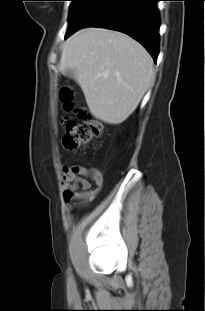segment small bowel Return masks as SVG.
Returning <instances> with one entry per match:
<instances>
[{
	"mask_svg": "<svg viewBox=\"0 0 205 311\" xmlns=\"http://www.w3.org/2000/svg\"><path fill=\"white\" fill-rule=\"evenodd\" d=\"M91 181L95 189H91ZM104 178L100 170L86 167L81 164H74L63 168L62 187L65 200L74 207L88 204L100 191Z\"/></svg>",
	"mask_w": 205,
	"mask_h": 311,
	"instance_id": "1",
	"label": "small bowel"
}]
</instances>
